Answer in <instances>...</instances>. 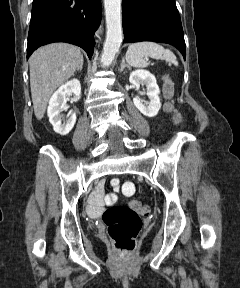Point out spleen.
I'll list each match as a JSON object with an SVG mask.
<instances>
[{
  "label": "spleen",
  "instance_id": "obj_1",
  "mask_svg": "<svg viewBox=\"0 0 240 288\" xmlns=\"http://www.w3.org/2000/svg\"><path fill=\"white\" fill-rule=\"evenodd\" d=\"M164 59L178 65L176 56L169 49H164L161 45L150 42H138L129 45L125 58L129 65L133 67H146L148 65L147 58Z\"/></svg>",
  "mask_w": 240,
  "mask_h": 288
}]
</instances>
